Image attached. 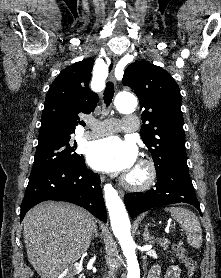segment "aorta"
<instances>
[{"instance_id":"obj_1","label":"aorta","mask_w":221,"mask_h":278,"mask_svg":"<svg viewBox=\"0 0 221 278\" xmlns=\"http://www.w3.org/2000/svg\"><path fill=\"white\" fill-rule=\"evenodd\" d=\"M136 98L127 93L119 94L115 99V106L119 112L127 113L136 107ZM104 197L109 212L111 227L119 240L123 254L127 261V278H140V269L136 256L135 242L130 232V221L123 201L111 184H105Z\"/></svg>"}]
</instances>
